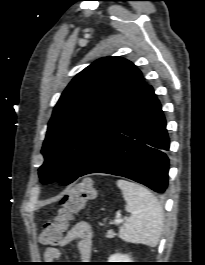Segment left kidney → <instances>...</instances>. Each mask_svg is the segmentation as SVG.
Listing matches in <instances>:
<instances>
[{
	"label": "left kidney",
	"instance_id": "5707ae66",
	"mask_svg": "<svg viewBox=\"0 0 205 265\" xmlns=\"http://www.w3.org/2000/svg\"><path fill=\"white\" fill-rule=\"evenodd\" d=\"M109 262H131V258L128 255L113 254L109 257Z\"/></svg>",
	"mask_w": 205,
	"mask_h": 265
}]
</instances>
